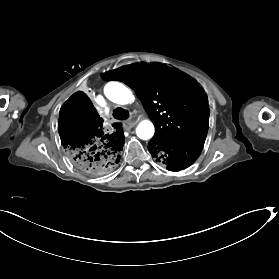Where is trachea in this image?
Returning <instances> with one entry per match:
<instances>
[{
	"label": "trachea",
	"instance_id": "1",
	"mask_svg": "<svg viewBox=\"0 0 279 279\" xmlns=\"http://www.w3.org/2000/svg\"><path fill=\"white\" fill-rule=\"evenodd\" d=\"M113 117L118 120H124L129 117V112L123 108H116L113 111Z\"/></svg>",
	"mask_w": 279,
	"mask_h": 279
}]
</instances>
